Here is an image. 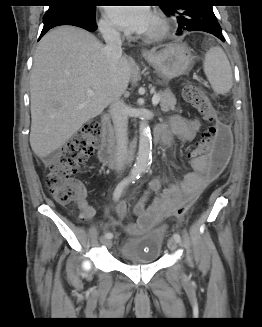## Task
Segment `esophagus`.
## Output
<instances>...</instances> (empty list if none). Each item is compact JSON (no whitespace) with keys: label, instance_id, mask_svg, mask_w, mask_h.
<instances>
[{"label":"esophagus","instance_id":"34e87169","mask_svg":"<svg viewBox=\"0 0 262 327\" xmlns=\"http://www.w3.org/2000/svg\"><path fill=\"white\" fill-rule=\"evenodd\" d=\"M142 55L143 56H150L151 55V52L149 50H147V49H143L142 50Z\"/></svg>","mask_w":262,"mask_h":327}]
</instances>
